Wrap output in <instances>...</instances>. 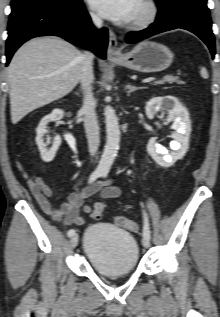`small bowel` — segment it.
<instances>
[{
    "mask_svg": "<svg viewBox=\"0 0 220 317\" xmlns=\"http://www.w3.org/2000/svg\"><path fill=\"white\" fill-rule=\"evenodd\" d=\"M83 181L84 176L75 182L74 191L69 195L68 201L59 207L50 202L53 190L42 178L29 179L28 186L43 212L54 221L82 225L85 221L83 214L93 213L98 206H103V200L118 197L121 193L118 187L110 185V181H99L81 189ZM95 194L99 195V201L85 203Z\"/></svg>",
    "mask_w": 220,
    "mask_h": 317,
    "instance_id": "small-bowel-1",
    "label": "small bowel"
}]
</instances>
